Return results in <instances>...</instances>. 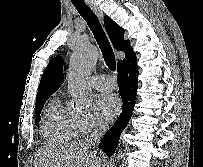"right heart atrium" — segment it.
Here are the masks:
<instances>
[{"instance_id":"d8ad5b80","label":"right heart atrium","mask_w":203,"mask_h":167,"mask_svg":"<svg viewBox=\"0 0 203 167\" xmlns=\"http://www.w3.org/2000/svg\"><path fill=\"white\" fill-rule=\"evenodd\" d=\"M76 120L81 133H89L99 128V123L92 114L76 113Z\"/></svg>"}]
</instances>
